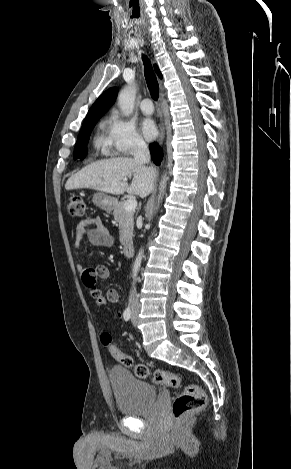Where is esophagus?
I'll return each instance as SVG.
<instances>
[{
    "mask_svg": "<svg viewBox=\"0 0 291 469\" xmlns=\"http://www.w3.org/2000/svg\"><path fill=\"white\" fill-rule=\"evenodd\" d=\"M163 95L161 94V99H162ZM160 114H161V118H160V126H159V137H158V143L161 144L165 138V125H164V120H163V105L161 103V111H160Z\"/></svg>",
    "mask_w": 291,
    "mask_h": 469,
    "instance_id": "1",
    "label": "esophagus"
}]
</instances>
